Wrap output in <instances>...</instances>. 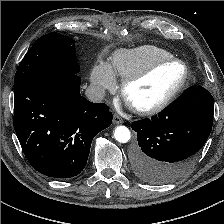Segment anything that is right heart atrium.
Instances as JSON below:
<instances>
[{
    "label": "right heart atrium",
    "instance_id": "1",
    "mask_svg": "<svg viewBox=\"0 0 224 224\" xmlns=\"http://www.w3.org/2000/svg\"><path fill=\"white\" fill-rule=\"evenodd\" d=\"M91 83L98 95L105 90L114 89L116 86V76L109 64L104 62L97 63L91 72Z\"/></svg>",
    "mask_w": 224,
    "mask_h": 224
}]
</instances>
